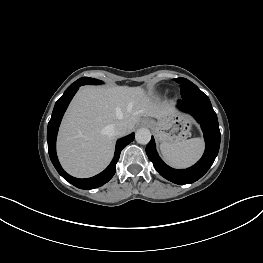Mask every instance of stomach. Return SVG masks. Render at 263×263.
<instances>
[{
  "label": "stomach",
  "mask_w": 263,
  "mask_h": 263,
  "mask_svg": "<svg viewBox=\"0 0 263 263\" xmlns=\"http://www.w3.org/2000/svg\"><path fill=\"white\" fill-rule=\"evenodd\" d=\"M193 124L192 118L181 113H174L157 122L150 121L156 137L161 143H172L188 138L191 135Z\"/></svg>",
  "instance_id": "stomach-1"
}]
</instances>
